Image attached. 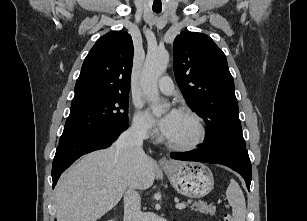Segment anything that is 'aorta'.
<instances>
[{
    "label": "aorta",
    "mask_w": 307,
    "mask_h": 221,
    "mask_svg": "<svg viewBox=\"0 0 307 221\" xmlns=\"http://www.w3.org/2000/svg\"><path fill=\"white\" fill-rule=\"evenodd\" d=\"M169 53L165 49L150 50L147 53L141 77L142 91L150 102L159 101L158 79L166 71Z\"/></svg>",
    "instance_id": "1"
}]
</instances>
